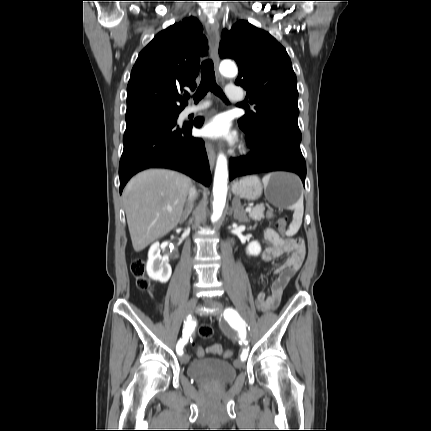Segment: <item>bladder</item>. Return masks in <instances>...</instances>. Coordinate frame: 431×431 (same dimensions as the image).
I'll return each instance as SVG.
<instances>
[{
	"mask_svg": "<svg viewBox=\"0 0 431 431\" xmlns=\"http://www.w3.org/2000/svg\"><path fill=\"white\" fill-rule=\"evenodd\" d=\"M188 377L196 383L210 387H222L233 383L237 377L236 367L216 358L196 359L187 368Z\"/></svg>",
	"mask_w": 431,
	"mask_h": 431,
	"instance_id": "31cf9c89",
	"label": "bladder"
}]
</instances>
